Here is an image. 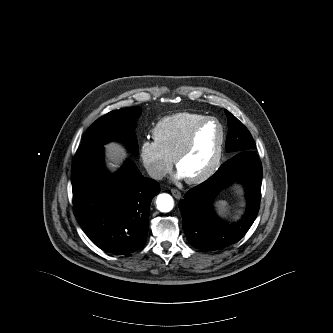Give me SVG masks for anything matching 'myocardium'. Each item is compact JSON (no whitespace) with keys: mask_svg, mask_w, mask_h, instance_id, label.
<instances>
[{"mask_svg":"<svg viewBox=\"0 0 333 333\" xmlns=\"http://www.w3.org/2000/svg\"><path fill=\"white\" fill-rule=\"evenodd\" d=\"M209 123L217 124L219 127V130H220V140H219L217 152H216V155H215L212 163L204 172H202L201 174H199L195 177H192V178H185L187 183H189V184H200V183H203L204 181L208 180L217 171V169L220 166L221 160H222L225 141H226L225 128H224L223 124L217 118L206 117L204 120H202L201 122H199L197 125L194 126V128L191 130L190 134L186 138L183 145L180 147V149L175 154L174 159H173L175 167L178 169L180 161L192 149L198 132Z\"/></svg>","mask_w":333,"mask_h":333,"instance_id":"obj_1","label":"myocardium"}]
</instances>
